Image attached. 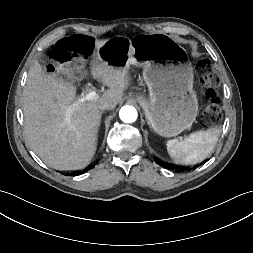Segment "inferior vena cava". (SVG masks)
Returning <instances> with one entry per match:
<instances>
[{
    "instance_id": "1",
    "label": "inferior vena cava",
    "mask_w": 253,
    "mask_h": 253,
    "mask_svg": "<svg viewBox=\"0 0 253 253\" xmlns=\"http://www.w3.org/2000/svg\"><path fill=\"white\" fill-rule=\"evenodd\" d=\"M115 105L110 101H103L99 104L100 110H113Z\"/></svg>"
}]
</instances>
